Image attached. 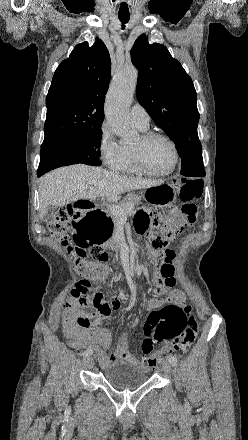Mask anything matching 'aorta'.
I'll return each mask as SVG.
<instances>
[{
  "label": "aorta",
  "mask_w": 248,
  "mask_h": 440,
  "mask_svg": "<svg viewBox=\"0 0 248 440\" xmlns=\"http://www.w3.org/2000/svg\"><path fill=\"white\" fill-rule=\"evenodd\" d=\"M138 72L132 67L120 70L107 94L105 116L113 133L123 141L133 140L137 132L132 128L129 105L137 85Z\"/></svg>",
  "instance_id": "1"
}]
</instances>
